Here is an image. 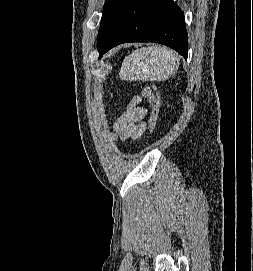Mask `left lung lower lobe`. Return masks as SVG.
Instances as JSON below:
<instances>
[{"instance_id": "0a47b994", "label": "left lung lower lobe", "mask_w": 253, "mask_h": 271, "mask_svg": "<svg viewBox=\"0 0 253 271\" xmlns=\"http://www.w3.org/2000/svg\"><path fill=\"white\" fill-rule=\"evenodd\" d=\"M126 42H157L169 46L185 59L188 38L184 14L172 0H130L100 58L111 48Z\"/></svg>"}]
</instances>
